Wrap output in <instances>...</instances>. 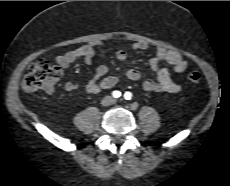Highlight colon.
I'll use <instances>...</instances> for the list:
<instances>
[{
	"mask_svg": "<svg viewBox=\"0 0 230 186\" xmlns=\"http://www.w3.org/2000/svg\"><path fill=\"white\" fill-rule=\"evenodd\" d=\"M61 77V69L44 59L34 61L29 66L27 74L22 81V88L27 93H35L39 90L53 91ZM186 79L193 83H200L203 76L198 71H190Z\"/></svg>",
	"mask_w": 230,
	"mask_h": 186,
	"instance_id": "colon-1",
	"label": "colon"
}]
</instances>
